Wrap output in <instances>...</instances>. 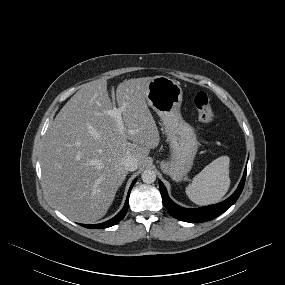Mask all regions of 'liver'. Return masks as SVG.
Returning a JSON list of instances; mask_svg holds the SVG:
<instances>
[{
	"mask_svg": "<svg viewBox=\"0 0 285 285\" xmlns=\"http://www.w3.org/2000/svg\"><path fill=\"white\" fill-rule=\"evenodd\" d=\"M152 79L134 78L117 86L123 133L105 114L115 108L106 80L82 85L49 126L41 155L43 186L50 202L69 219L92 223L102 218L128 174L121 159L133 155L141 166L159 145L146 103Z\"/></svg>",
	"mask_w": 285,
	"mask_h": 285,
	"instance_id": "obj_1",
	"label": "liver"
}]
</instances>
